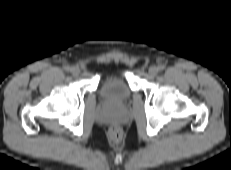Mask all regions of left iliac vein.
I'll return each instance as SVG.
<instances>
[{"label":"left iliac vein","instance_id":"left-iliac-vein-1","mask_svg":"<svg viewBox=\"0 0 231 170\" xmlns=\"http://www.w3.org/2000/svg\"><path fill=\"white\" fill-rule=\"evenodd\" d=\"M157 73H158V68L157 67L152 66V67L149 68V75L150 76L154 77V76L157 75Z\"/></svg>","mask_w":231,"mask_h":170}]
</instances>
